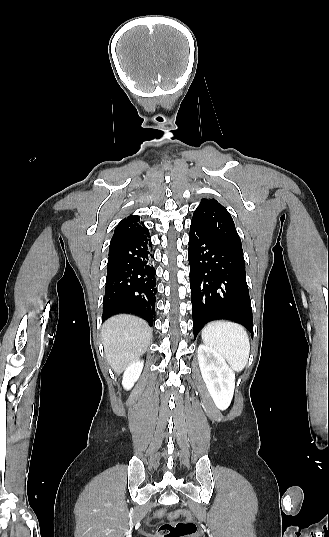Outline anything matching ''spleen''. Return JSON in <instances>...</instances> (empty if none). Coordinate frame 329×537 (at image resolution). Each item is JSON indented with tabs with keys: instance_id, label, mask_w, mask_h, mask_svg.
Here are the masks:
<instances>
[{
	"instance_id": "obj_1",
	"label": "spleen",
	"mask_w": 329,
	"mask_h": 537,
	"mask_svg": "<svg viewBox=\"0 0 329 537\" xmlns=\"http://www.w3.org/2000/svg\"><path fill=\"white\" fill-rule=\"evenodd\" d=\"M203 343L219 352L235 371H242L250 353V341L238 323L213 321L202 329Z\"/></svg>"
}]
</instances>
